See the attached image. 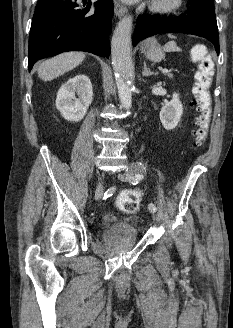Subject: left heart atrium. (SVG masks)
Segmentation results:
<instances>
[{
    "mask_svg": "<svg viewBox=\"0 0 233 328\" xmlns=\"http://www.w3.org/2000/svg\"><path fill=\"white\" fill-rule=\"evenodd\" d=\"M125 1H127V2H133V1H136V0H125Z\"/></svg>",
    "mask_w": 233,
    "mask_h": 328,
    "instance_id": "1",
    "label": "left heart atrium"
}]
</instances>
